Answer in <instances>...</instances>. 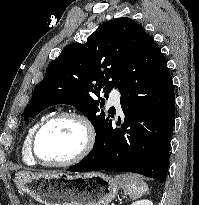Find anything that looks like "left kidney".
<instances>
[{
  "instance_id": "1",
  "label": "left kidney",
  "mask_w": 199,
  "mask_h": 205,
  "mask_svg": "<svg viewBox=\"0 0 199 205\" xmlns=\"http://www.w3.org/2000/svg\"><path fill=\"white\" fill-rule=\"evenodd\" d=\"M131 205H153V203L150 200H139L132 203Z\"/></svg>"
}]
</instances>
